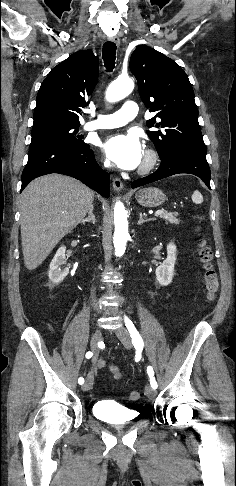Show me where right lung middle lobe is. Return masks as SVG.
I'll list each match as a JSON object with an SVG mask.
<instances>
[{
    "instance_id": "dd1d6c3e",
    "label": "right lung middle lobe",
    "mask_w": 236,
    "mask_h": 486,
    "mask_svg": "<svg viewBox=\"0 0 236 486\" xmlns=\"http://www.w3.org/2000/svg\"><path fill=\"white\" fill-rule=\"evenodd\" d=\"M80 124L46 123L32 127L31 144L54 143L63 146H85L82 137L77 135Z\"/></svg>"
}]
</instances>
